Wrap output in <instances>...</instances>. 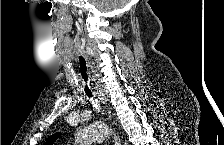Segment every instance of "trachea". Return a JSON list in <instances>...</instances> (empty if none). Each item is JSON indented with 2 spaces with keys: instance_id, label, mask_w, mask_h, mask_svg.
Wrapping results in <instances>:
<instances>
[{
  "instance_id": "3493384b",
  "label": "trachea",
  "mask_w": 224,
  "mask_h": 145,
  "mask_svg": "<svg viewBox=\"0 0 224 145\" xmlns=\"http://www.w3.org/2000/svg\"><path fill=\"white\" fill-rule=\"evenodd\" d=\"M79 63H80V74L82 77V80L85 82L86 86L84 88L85 93L87 96L90 98L92 97V92L88 88L87 83H88V71H87V66H86V61L83 57L79 58Z\"/></svg>"
}]
</instances>
